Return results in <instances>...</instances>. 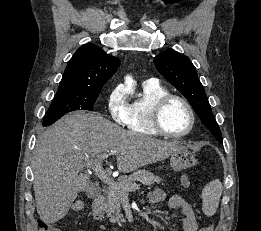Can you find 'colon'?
Masks as SVG:
<instances>
[{
    "label": "colon",
    "mask_w": 261,
    "mask_h": 231,
    "mask_svg": "<svg viewBox=\"0 0 261 231\" xmlns=\"http://www.w3.org/2000/svg\"><path fill=\"white\" fill-rule=\"evenodd\" d=\"M85 207V204L83 201H75L71 207H70V211L71 212H78L83 210ZM38 227H39V231H59V229L56 227L55 224L52 223H48L44 220H38Z\"/></svg>",
    "instance_id": "obj_1"
}]
</instances>
